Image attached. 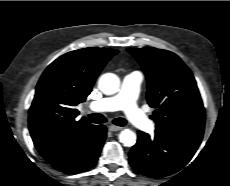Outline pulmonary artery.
Here are the masks:
<instances>
[{
    "label": "pulmonary artery",
    "mask_w": 230,
    "mask_h": 186,
    "mask_svg": "<svg viewBox=\"0 0 230 186\" xmlns=\"http://www.w3.org/2000/svg\"><path fill=\"white\" fill-rule=\"evenodd\" d=\"M143 75L132 72L124 76L119 92L111 97L93 101L89 108L95 112L123 110L128 120L138 129L154 132L155 125L148 116L137 106L136 99Z\"/></svg>",
    "instance_id": "1"
}]
</instances>
